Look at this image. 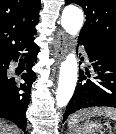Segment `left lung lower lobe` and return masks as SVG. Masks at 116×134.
<instances>
[{"instance_id":"1","label":"left lung lower lobe","mask_w":116,"mask_h":134,"mask_svg":"<svg viewBox=\"0 0 116 134\" xmlns=\"http://www.w3.org/2000/svg\"><path fill=\"white\" fill-rule=\"evenodd\" d=\"M88 58L92 63V71H79V83L70 99L63 122L78 110L107 106L116 108V47L94 40H81ZM92 79H87L86 76Z\"/></svg>"}]
</instances>
